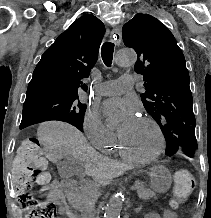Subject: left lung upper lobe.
<instances>
[{
    "instance_id": "obj_1",
    "label": "left lung upper lobe",
    "mask_w": 211,
    "mask_h": 218,
    "mask_svg": "<svg viewBox=\"0 0 211 218\" xmlns=\"http://www.w3.org/2000/svg\"><path fill=\"white\" fill-rule=\"evenodd\" d=\"M125 46L138 56L135 71L143 75L141 94L147 112L166 140L165 154L194 157L197 150L190 78L184 55L170 30L149 14H136L122 29Z\"/></svg>"
}]
</instances>
